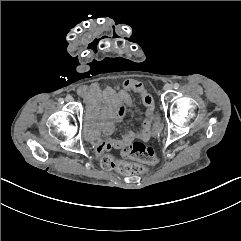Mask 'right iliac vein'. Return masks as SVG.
Returning a JSON list of instances; mask_svg holds the SVG:
<instances>
[{
    "label": "right iliac vein",
    "mask_w": 241,
    "mask_h": 241,
    "mask_svg": "<svg viewBox=\"0 0 241 241\" xmlns=\"http://www.w3.org/2000/svg\"><path fill=\"white\" fill-rule=\"evenodd\" d=\"M67 102H72L73 101V98L71 96H67L66 99H65Z\"/></svg>",
    "instance_id": "1"
}]
</instances>
